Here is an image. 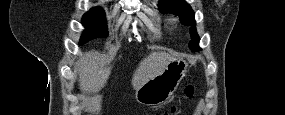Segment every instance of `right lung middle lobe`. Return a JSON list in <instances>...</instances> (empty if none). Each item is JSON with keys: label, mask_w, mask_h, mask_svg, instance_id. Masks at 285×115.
<instances>
[{"label": "right lung middle lobe", "mask_w": 285, "mask_h": 115, "mask_svg": "<svg viewBox=\"0 0 285 115\" xmlns=\"http://www.w3.org/2000/svg\"><path fill=\"white\" fill-rule=\"evenodd\" d=\"M82 24L86 28L81 36L79 45L95 39L107 37L108 31L105 24V12L101 8H92L84 14Z\"/></svg>", "instance_id": "dd1d6c3e"}]
</instances>
